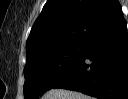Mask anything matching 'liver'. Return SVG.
I'll return each instance as SVG.
<instances>
[{
  "mask_svg": "<svg viewBox=\"0 0 128 99\" xmlns=\"http://www.w3.org/2000/svg\"><path fill=\"white\" fill-rule=\"evenodd\" d=\"M42 99H93V98L74 91L63 90V89H52L47 93H45Z\"/></svg>",
  "mask_w": 128,
  "mask_h": 99,
  "instance_id": "6515ba94",
  "label": "liver"
}]
</instances>
